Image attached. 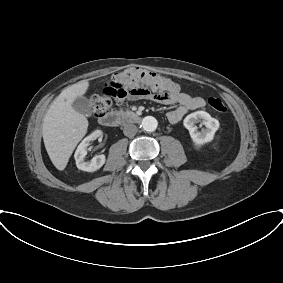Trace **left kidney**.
Listing matches in <instances>:
<instances>
[{"instance_id": "obj_1", "label": "left kidney", "mask_w": 283, "mask_h": 283, "mask_svg": "<svg viewBox=\"0 0 283 283\" xmlns=\"http://www.w3.org/2000/svg\"><path fill=\"white\" fill-rule=\"evenodd\" d=\"M202 121L206 129L198 131L195 123ZM185 128L189 131L195 146H202L214 139L215 132L219 129V121L205 111H196L187 115L183 121Z\"/></svg>"}]
</instances>
